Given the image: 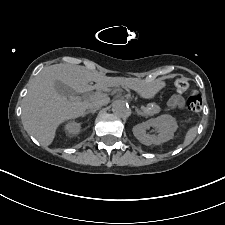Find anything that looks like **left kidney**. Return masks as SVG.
I'll return each mask as SVG.
<instances>
[{
    "label": "left kidney",
    "mask_w": 225,
    "mask_h": 225,
    "mask_svg": "<svg viewBox=\"0 0 225 225\" xmlns=\"http://www.w3.org/2000/svg\"><path fill=\"white\" fill-rule=\"evenodd\" d=\"M150 127L157 129V135H150L146 130ZM177 123L171 115H161L152 118L146 122H142L133 127V134L144 145H159L173 138L174 132L177 130Z\"/></svg>",
    "instance_id": "5707ae66"
}]
</instances>
